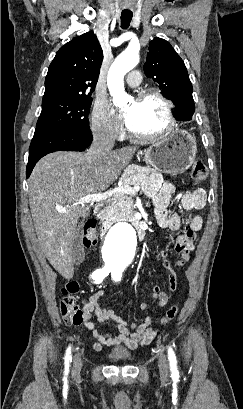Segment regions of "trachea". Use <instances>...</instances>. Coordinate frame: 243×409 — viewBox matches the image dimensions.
I'll use <instances>...</instances> for the list:
<instances>
[{
    "label": "trachea",
    "instance_id": "obj_1",
    "mask_svg": "<svg viewBox=\"0 0 243 409\" xmlns=\"http://www.w3.org/2000/svg\"><path fill=\"white\" fill-rule=\"evenodd\" d=\"M132 16H133L132 12L122 11L121 13V28L122 29H127L129 27Z\"/></svg>",
    "mask_w": 243,
    "mask_h": 409
}]
</instances>
